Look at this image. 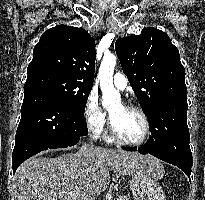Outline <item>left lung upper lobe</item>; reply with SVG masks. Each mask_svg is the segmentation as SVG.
I'll return each mask as SVG.
<instances>
[{
    "label": "left lung upper lobe",
    "mask_w": 205,
    "mask_h": 200,
    "mask_svg": "<svg viewBox=\"0 0 205 200\" xmlns=\"http://www.w3.org/2000/svg\"><path fill=\"white\" fill-rule=\"evenodd\" d=\"M115 50L150 124L162 102L187 96L179 51L165 32L144 28L140 35L118 39Z\"/></svg>",
    "instance_id": "left-lung-upper-lobe-1"
}]
</instances>
